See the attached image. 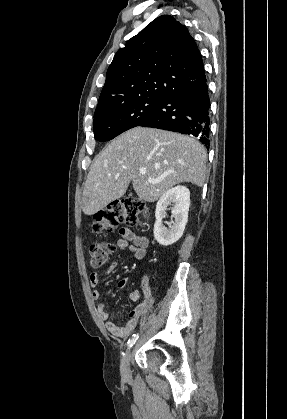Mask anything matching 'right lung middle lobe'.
Listing matches in <instances>:
<instances>
[{
  "label": "right lung middle lobe",
  "instance_id": "right-lung-middle-lobe-1",
  "mask_svg": "<svg viewBox=\"0 0 287 419\" xmlns=\"http://www.w3.org/2000/svg\"><path fill=\"white\" fill-rule=\"evenodd\" d=\"M164 98H141L127 101L94 114V138L108 141L124 131L139 126L160 106Z\"/></svg>",
  "mask_w": 287,
  "mask_h": 419
}]
</instances>
